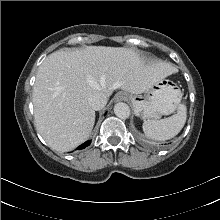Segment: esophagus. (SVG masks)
Wrapping results in <instances>:
<instances>
[{
    "label": "esophagus",
    "mask_w": 220,
    "mask_h": 220,
    "mask_svg": "<svg viewBox=\"0 0 220 220\" xmlns=\"http://www.w3.org/2000/svg\"><path fill=\"white\" fill-rule=\"evenodd\" d=\"M124 99V94L123 93H119L116 95V100H123Z\"/></svg>",
    "instance_id": "1"
}]
</instances>
